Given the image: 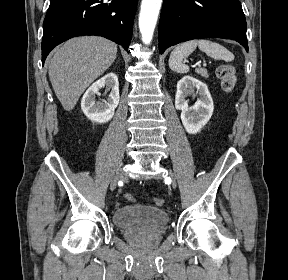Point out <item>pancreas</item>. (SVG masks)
Returning a JSON list of instances; mask_svg holds the SVG:
<instances>
[{
    "instance_id": "cf45deb5",
    "label": "pancreas",
    "mask_w": 288,
    "mask_h": 280,
    "mask_svg": "<svg viewBox=\"0 0 288 280\" xmlns=\"http://www.w3.org/2000/svg\"><path fill=\"white\" fill-rule=\"evenodd\" d=\"M196 72H197L199 75H201V76H203V77H205V78H208V72H207L206 69L199 68V69H196Z\"/></svg>"
}]
</instances>
